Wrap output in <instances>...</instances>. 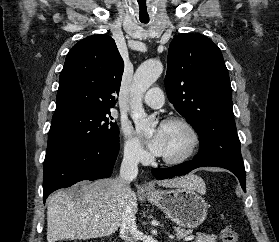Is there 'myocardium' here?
I'll list each match as a JSON object with an SVG mask.
<instances>
[{"label":"myocardium","instance_id":"obj_1","mask_svg":"<svg viewBox=\"0 0 279 242\" xmlns=\"http://www.w3.org/2000/svg\"><path fill=\"white\" fill-rule=\"evenodd\" d=\"M162 125H180L188 133L189 143L187 149L177 157H161V161L168 165H179L188 161L196 152L199 145V133L196 127L184 117H170L162 122Z\"/></svg>","mask_w":279,"mask_h":242}]
</instances>
